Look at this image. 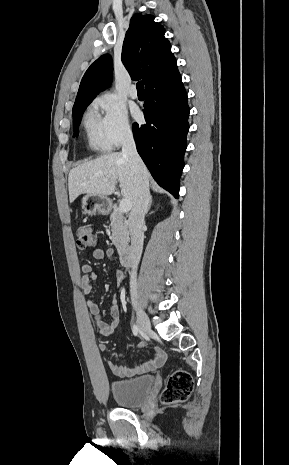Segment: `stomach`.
<instances>
[{
  "label": "stomach",
  "instance_id": "0dacf381",
  "mask_svg": "<svg viewBox=\"0 0 289 465\" xmlns=\"http://www.w3.org/2000/svg\"><path fill=\"white\" fill-rule=\"evenodd\" d=\"M83 213L89 216L107 214L111 208V201L106 196L87 194L82 201Z\"/></svg>",
  "mask_w": 289,
  "mask_h": 465
}]
</instances>
